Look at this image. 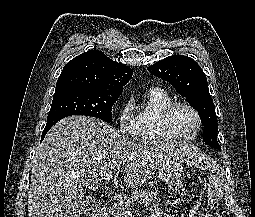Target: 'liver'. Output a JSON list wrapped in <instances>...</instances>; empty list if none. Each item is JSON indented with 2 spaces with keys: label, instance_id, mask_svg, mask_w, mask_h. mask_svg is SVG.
Masks as SVG:
<instances>
[{
  "label": "liver",
  "instance_id": "liver-1",
  "mask_svg": "<svg viewBox=\"0 0 255 217\" xmlns=\"http://www.w3.org/2000/svg\"><path fill=\"white\" fill-rule=\"evenodd\" d=\"M172 155L199 157L188 144L135 142L108 124L70 116L55 124L36 151L28 192L29 217H80L88 206L85 188L123 170L116 186L146 182Z\"/></svg>",
  "mask_w": 255,
  "mask_h": 217
}]
</instances>
